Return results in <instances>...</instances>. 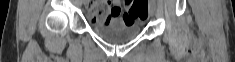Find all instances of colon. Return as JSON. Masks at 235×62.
Instances as JSON below:
<instances>
[{
	"mask_svg": "<svg viewBox=\"0 0 235 62\" xmlns=\"http://www.w3.org/2000/svg\"><path fill=\"white\" fill-rule=\"evenodd\" d=\"M126 14L128 24L135 22L137 19H145L147 16L146 6L141 0H135Z\"/></svg>",
	"mask_w": 235,
	"mask_h": 62,
	"instance_id": "5ec220e1",
	"label": "colon"
}]
</instances>
